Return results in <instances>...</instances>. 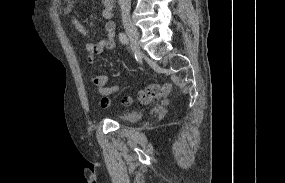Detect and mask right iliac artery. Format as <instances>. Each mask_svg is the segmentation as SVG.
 Segmentation results:
<instances>
[{
    "instance_id": "1",
    "label": "right iliac artery",
    "mask_w": 285,
    "mask_h": 183,
    "mask_svg": "<svg viewBox=\"0 0 285 183\" xmlns=\"http://www.w3.org/2000/svg\"><path fill=\"white\" fill-rule=\"evenodd\" d=\"M119 39H120V41H121L122 44L128 45V43H129V38L127 37L126 34L120 33V34H119Z\"/></svg>"
}]
</instances>
